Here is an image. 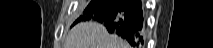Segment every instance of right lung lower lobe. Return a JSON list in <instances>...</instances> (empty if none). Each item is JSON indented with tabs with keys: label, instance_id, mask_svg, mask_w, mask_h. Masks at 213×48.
Instances as JSON below:
<instances>
[{
	"label": "right lung lower lobe",
	"instance_id": "right-lung-lower-lobe-1",
	"mask_svg": "<svg viewBox=\"0 0 213 48\" xmlns=\"http://www.w3.org/2000/svg\"><path fill=\"white\" fill-rule=\"evenodd\" d=\"M140 6L139 0H92L77 21L96 20L109 33L122 37L131 46H139L143 22Z\"/></svg>",
	"mask_w": 213,
	"mask_h": 48
}]
</instances>
